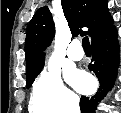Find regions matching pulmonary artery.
Wrapping results in <instances>:
<instances>
[{"label":"pulmonary artery","instance_id":"1","mask_svg":"<svg viewBox=\"0 0 121 113\" xmlns=\"http://www.w3.org/2000/svg\"><path fill=\"white\" fill-rule=\"evenodd\" d=\"M67 56L73 61H80L83 58V51L77 41H73L68 49Z\"/></svg>","mask_w":121,"mask_h":113}]
</instances>
